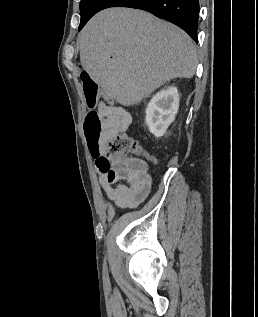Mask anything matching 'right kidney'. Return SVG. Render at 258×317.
<instances>
[{
    "label": "right kidney",
    "mask_w": 258,
    "mask_h": 317,
    "mask_svg": "<svg viewBox=\"0 0 258 317\" xmlns=\"http://www.w3.org/2000/svg\"><path fill=\"white\" fill-rule=\"evenodd\" d=\"M179 108V94L176 86H168L152 96L146 108L145 122L152 134L163 136L169 124L175 120Z\"/></svg>",
    "instance_id": "obj_1"
}]
</instances>
